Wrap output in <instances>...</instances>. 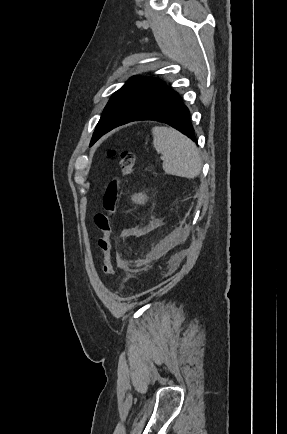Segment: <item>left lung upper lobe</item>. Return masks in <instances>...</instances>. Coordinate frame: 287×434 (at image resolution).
I'll return each mask as SVG.
<instances>
[{
  "mask_svg": "<svg viewBox=\"0 0 287 434\" xmlns=\"http://www.w3.org/2000/svg\"><path fill=\"white\" fill-rule=\"evenodd\" d=\"M174 91L162 80L134 76L116 91L107 103L90 145L143 108L161 101Z\"/></svg>",
  "mask_w": 287,
  "mask_h": 434,
  "instance_id": "obj_1",
  "label": "left lung upper lobe"
}]
</instances>
